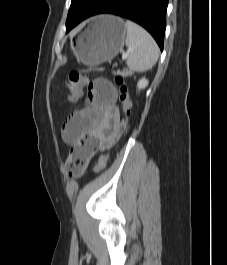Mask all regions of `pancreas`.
Listing matches in <instances>:
<instances>
[{
  "mask_svg": "<svg viewBox=\"0 0 227 265\" xmlns=\"http://www.w3.org/2000/svg\"><path fill=\"white\" fill-rule=\"evenodd\" d=\"M116 74L121 75L123 77H127V76L131 75V72L128 70H123V71H117Z\"/></svg>",
  "mask_w": 227,
  "mask_h": 265,
  "instance_id": "pancreas-1",
  "label": "pancreas"
}]
</instances>
